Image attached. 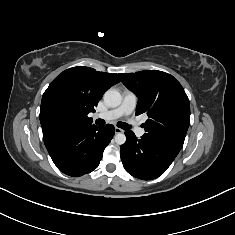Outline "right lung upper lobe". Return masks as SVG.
Here are the masks:
<instances>
[{"label": "right lung upper lobe", "mask_w": 235, "mask_h": 235, "mask_svg": "<svg viewBox=\"0 0 235 235\" xmlns=\"http://www.w3.org/2000/svg\"><path fill=\"white\" fill-rule=\"evenodd\" d=\"M120 82L115 73L98 72L89 67H73L59 74L43 94L40 122L43 137L62 131L92 126L90 112L111 86Z\"/></svg>", "instance_id": "cb5924a9"}]
</instances>
